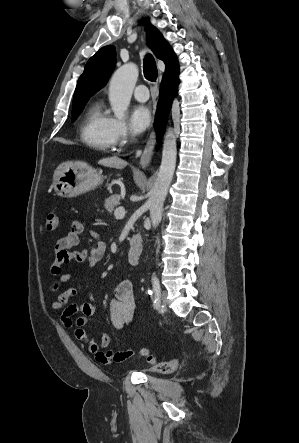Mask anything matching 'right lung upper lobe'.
I'll return each instance as SVG.
<instances>
[{"label":"right lung upper lobe","mask_w":299,"mask_h":443,"mask_svg":"<svg viewBox=\"0 0 299 443\" xmlns=\"http://www.w3.org/2000/svg\"><path fill=\"white\" fill-rule=\"evenodd\" d=\"M147 43L155 56L164 61V76L178 74L177 57L162 34L152 25L147 30ZM116 64L115 47L108 45L99 49L87 62L83 74L79 77L73 98V106L87 102L107 83Z\"/></svg>","instance_id":"obj_1"}]
</instances>
